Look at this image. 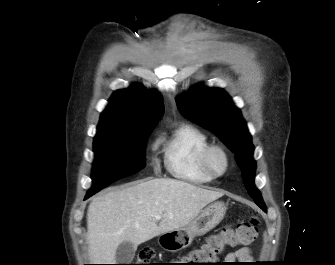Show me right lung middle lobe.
Instances as JSON below:
<instances>
[{
	"instance_id": "obj_1",
	"label": "right lung middle lobe",
	"mask_w": 335,
	"mask_h": 265,
	"mask_svg": "<svg viewBox=\"0 0 335 265\" xmlns=\"http://www.w3.org/2000/svg\"><path fill=\"white\" fill-rule=\"evenodd\" d=\"M153 126L97 133L94 138L93 185L88 195L145 167L146 138Z\"/></svg>"
}]
</instances>
